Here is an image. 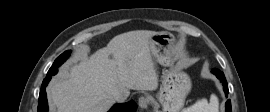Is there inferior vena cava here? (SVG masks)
<instances>
[{
	"mask_svg": "<svg viewBox=\"0 0 270 112\" xmlns=\"http://www.w3.org/2000/svg\"><path fill=\"white\" fill-rule=\"evenodd\" d=\"M114 99H115L116 102L121 103V102L125 101L126 96L124 94H122V93H117V94L114 95Z\"/></svg>",
	"mask_w": 270,
	"mask_h": 112,
	"instance_id": "obj_1",
	"label": "inferior vena cava"
}]
</instances>
